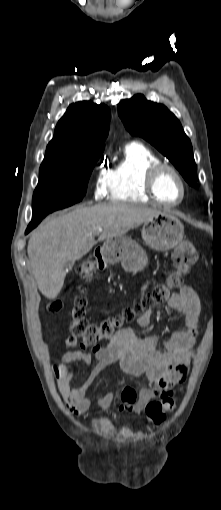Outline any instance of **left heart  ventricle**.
Here are the masks:
<instances>
[{
    "mask_svg": "<svg viewBox=\"0 0 221 510\" xmlns=\"http://www.w3.org/2000/svg\"><path fill=\"white\" fill-rule=\"evenodd\" d=\"M158 197L168 203L177 202L182 195L181 185L178 179L170 171H163L155 185Z\"/></svg>",
    "mask_w": 221,
    "mask_h": 510,
    "instance_id": "b2bd125f",
    "label": "left heart ventricle"
}]
</instances>
